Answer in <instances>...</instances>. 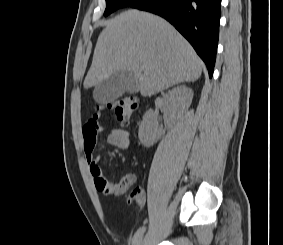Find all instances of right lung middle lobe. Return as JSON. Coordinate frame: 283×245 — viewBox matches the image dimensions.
<instances>
[{
  "label": "right lung middle lobe",
  "instance_id": "obj_1",
  "mask_svg": "<svg viewBox=\"0 0 283 245\" xmlns=\"http://www.w3.org/2000/svg\"><path fill=\"white\" fill-rule=\"evenodd\" d=\"M139 1L140 0H106V10L104 16L109 15L119 8L132 6Z\"/></svg>",
  "mask_w": 283,
  "mask_h": 245
}]
</instances>
